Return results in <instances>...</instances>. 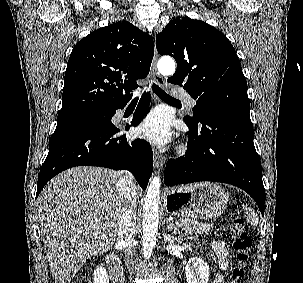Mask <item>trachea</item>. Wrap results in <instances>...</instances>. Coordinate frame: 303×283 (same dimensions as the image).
<instances>
[{
    "label": "trachea",
    "mask_w": 303,
    "mask_h": 283,
    "mask_svg": "<svg viewBox=\"0 0 303 283\" xmlns=\"http://www.w3.org/2000/svg\"><path fill=\"white\" fill-rule=\"evenodd\" d=\"M152 90L156 93V95L166 101L169 102H180L179 100H176L174 98H172L171 96H169L165 91H163L158 85H156L155 83L152 84ZM138 97L134 98L133 101H137Z\"/></svg>",
    "instance_id": "obj_1"
}]
</instances>
